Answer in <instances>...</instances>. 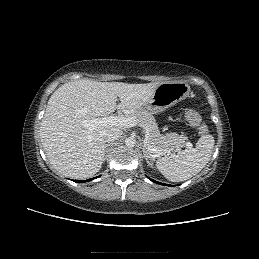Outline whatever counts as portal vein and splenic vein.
I'll return each instance as SVG.
<instances>
[{
    "label": "portal vein and splenic vein",
    "mask_w": 259,
    "mask_h": 259,
    "mask_svg": "<svg viewBox=\"0 0 259 259\" xmlns=\"http://www.w3.org/2000/svg\"><path fill=\"white\" fill-rule=\"evenodd\" d=\"M82 124L90 131H92L97 126L111 125V126H119V127H134L138 123H137V120L133 117L109 116V117H102V118H94L91 120H83ZM146 138H145V146L148 149V151L152 153H160L163 151L168 152V150L151 147L147 142ZM190 146L191 144L188 143V147Z\"/></svg>",
    "instance_id": "18ae733b"
}]
</instances>
